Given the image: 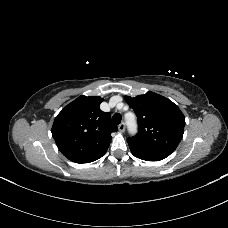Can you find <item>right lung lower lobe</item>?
<instances>
[{"instance_id":"1","label":"right lung lower lobe","mask_w":228,"mask_h":228,"mask_svg":"<svg viewBox=\"0 0 228 228\" xmlns=\"http://www.w3.org/2000/svg\"><path fill=\"white\" fill-rule=\"evenodd\" d=\"M107 150H104L102 152H99L97 153L96 155H93L91 157H88L86 159H83V160H80V161H77L76 163H90V162H93L99 158H101L105 153H106Z\"/></svg>"}]
</instances>
